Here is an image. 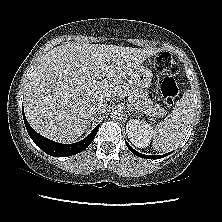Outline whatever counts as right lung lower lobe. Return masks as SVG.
Here are the masks:
<instances>
[{
    "instance_id": "obj_1",
    "label": "right lung lower lobe",
    "mask_w": 222,
    "mask_h": 222,
    "mask_svg": "<svg viewBox=\"0 0 222 222\" xmlns=\"http://www.w3.org/2000/svg\"><path fill=\"white\" fill-rule=\"evenodd\" d=\"M23 119L28 131L29 136L35 142V144L41 148L45 153L54 157H66L71 156L77 153L82 152L85 150L94 139L99 125L83 140L73 143V144H61L54 142L48 138L43 137L42 135L35 132V130L29 125L24 112H23Z\"/></svg>"
}]
</instances>
